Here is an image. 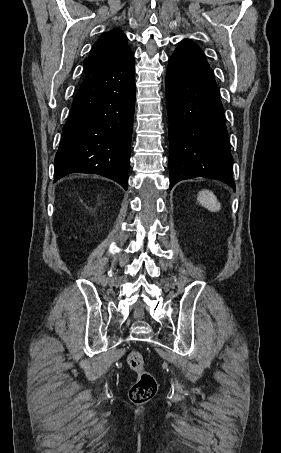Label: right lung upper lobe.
Segmentation results:
<instances>
[{"label":"right lung upper lobe","instance_id":"cb5924a9","mask_svg":"<svg viewBox=\"0 0 281 453\" xmlns=\"http://www.w3.org/2000/svg\"><path fill=\"white\" fill-rule=\"evenodd\" d=\"M130 52L127 37L119 28L103 33L84 60V76H92L110 68Z\"/></svg>","mask_w":281,"mask_h":453}]
</instances>
